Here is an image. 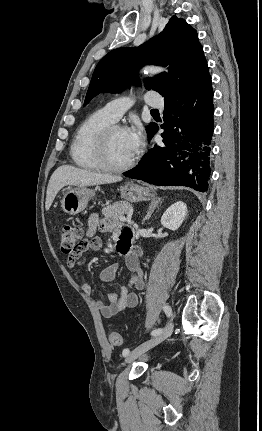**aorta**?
Segmentation results:
<instances>
[{"label":"aorta","instance_id":"1","mask_svg":"<svg viewBox=\"0 0 262 431\" xmlns=\"http://www.w3.org/2000/svg\"><path fill=\"white\" fill-rule=\"evenodd\" d=\"M143 71L149 74H157L165 71V69L162 67H156V66H146L143 68Z\"/></svg>","mask_w":262,"mask_h":431}]
</instances>
